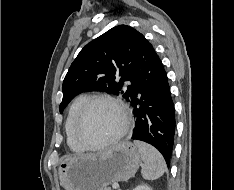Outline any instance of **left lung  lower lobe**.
Masks as SVG:
<instances>
[{"label":"left lung lower lobe","mask_w":234,"mask_h":190,"mask_svg":"<svg viewBox=\"0 0 234 190\" xmlns=\"http://www.w3.org/2000/svg\"><path fill=\"white\" fill-rule=\"evenodd\" d=\"M129 102L135 127L131 139L156 147L170 164L175 133V109L167 74L153 46L144 38Z\"/></svg>","instance_id":"obj_1"}]
</instances>
